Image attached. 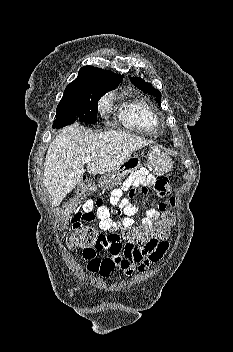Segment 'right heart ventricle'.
<instances>
[{
  "instance_id": "right-heart-ventricle-1",
  "label": "right heart ventricle",
  "mask_w": 233,
  "mask_h": 352,
  "mask_svg": "<svg viewBox=\"0 0 233 352\" xmlns=\"http://www.w3.org/2000/svg\"><path fill=\"white\" fill-rule=\"evenodd\" d=\"M119 119L127 129L139 132L154 131L158 125L157 115L142 99L131 100L123 105Z\"/></svg>"
}]
</instances>
